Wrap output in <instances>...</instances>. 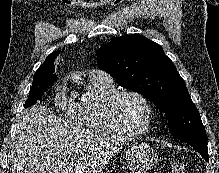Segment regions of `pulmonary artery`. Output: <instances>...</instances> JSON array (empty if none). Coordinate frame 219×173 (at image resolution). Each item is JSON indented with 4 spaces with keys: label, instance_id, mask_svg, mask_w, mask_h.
<instances>
[{
    "label": "pulmonary artery",
    "instance_id": "pulmonary-artery-1",
    "mask_svg": "<svg viewBox=\"0 0 219 173\" xmlns=\"http://www.w3.org/2000/svg\"><path fill=\"white\" fill-rule=\"evenodd\" d=\"M88 75H89V79L91 80H99V81H105V82L112 81V78L110 77V75L98 69L90 70Z\"/></svg>",
    "mask_w": 219,
    "mask_h": 173
}]
</instances>
